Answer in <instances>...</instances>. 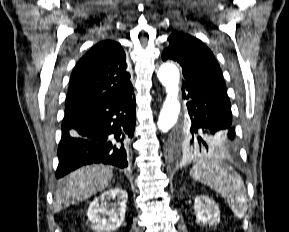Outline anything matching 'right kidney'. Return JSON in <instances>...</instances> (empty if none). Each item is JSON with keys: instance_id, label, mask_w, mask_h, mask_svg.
I'll use <instances>...</instances> for the list:
<instances>
[{"instance_id": "right-kidney-1", "label": "right kidney", "mask_w": 289, "mask_h": 232, "mask_svg": "<svg viewBox=\"0 0 289 232\" xmlns=\"http://www.w3.org/2000/svg\"><path fill=\"white\" fill-rule=\"evenodd\" d=\"M128 194L120 188H110L90 204L87 216L96 232H113L124 221Z\"/></svg>"}]
</instances>
